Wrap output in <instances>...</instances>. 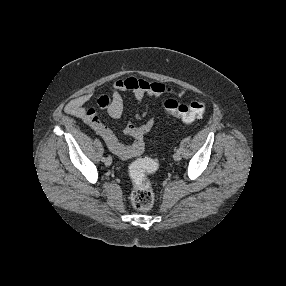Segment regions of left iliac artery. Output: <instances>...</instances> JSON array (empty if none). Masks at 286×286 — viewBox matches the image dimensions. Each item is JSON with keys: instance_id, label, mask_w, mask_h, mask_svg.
Instances as JSON below:
<instances>
[{"instance_id": "44dca946", "label": "left iliac artery", "mask_w": 286, "mask_h": 286, "mask_svg": "<svg viewBox=\"0 0 286 286\" xmlns=\"http://www.w3.org/2000/svg\"><path fill=\"white\" fill-rule=\"evenodd\" d=\"M176 152L181 153V151H180V149H179V148H177V149H176Z\"/></svg>"}]
</instances>
